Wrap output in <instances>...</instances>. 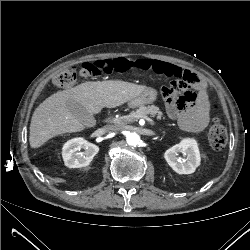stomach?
<instances>
[{"instance_id": "0dacf381", "label": "stomach", "mask_w": 250, "mask_h": 250, "mask_svg": "<svg viewBox=\"0 0 250 250\" xmlns=\"http://www.w3.org/2000/svg\"><path fill=\"white\" fill-rule=\"evenodd\" d=\"M158 92L153 88L145 89L141 94L131 99L128 102L130 107H138L146 104H150L157 99Z\"/></svg>"}]
</instances>
